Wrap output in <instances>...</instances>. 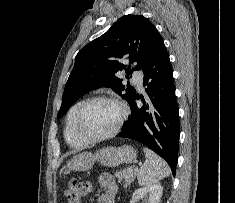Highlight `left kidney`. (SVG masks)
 I'll use <instances>...</instances> for the list:
<instances>
[{"instance_id":"left-kidney-1","label":"left kidney","mask_w":235,"mask_h":203,"mask_svg":"<svg viewBox=\"0 0 235 203\" xmlns=\"http://www.w3.org/2000/svg\"><path fill=\"white\" fill-rule=\"evenodd\" d=\"M163 192L161 184H153L135 190L132 196V202L136 203L142 200L144 203H159Z\"/></svg>"}]
</instances>
